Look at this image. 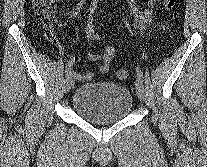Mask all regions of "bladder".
<instances>
[{
  "label": "bladder",
  "instance_id": "obj_1",
  "mask_svg": "<svg viewBox=\"0 0 207 167\" xmlns=\"http://www.w3.org/2000/svg\"><path fill=\"white\" fill-rule=\"evenodd\" d=\"M74 110L94 123H115L124 119L133 106V98L125 86L112 82L81 85L73 96Z\"/></svg>",
  "mask_w": 207,
  "mask_h": 167
}]
</instances>
